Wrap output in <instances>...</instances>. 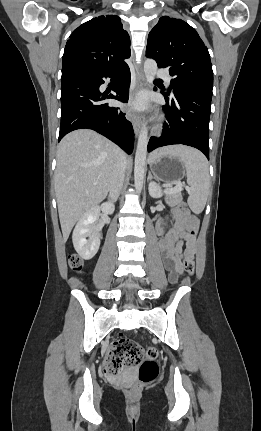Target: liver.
Wrapping results in <instances>:
<instances>
[{
  "label": "liver",
  "mask_w": 261,
  "mask_h": 431,
  "mask_svg": "<svg viewBox=\"0 0 261 431\" xmlns=\"http://www.w3.org/2000/svg\"><path fill=\"white\" fill-rule=\"evenodd\" d=\"M121 156L127 164L118 146L89 129L73 131L59 143L55 193L64 242L81 216L107 196Z\"/></svg>",
  "instance_id": "liver-1"
}]
</instances>
